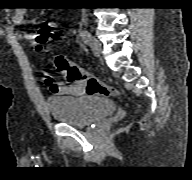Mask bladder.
Segmentation results:
<instances>
[{"label":"bladder","mask_w":192,"mask_h":180,"mask_svg":"<svg viewBox=\"0 0 192 180\" xmlns=\"http://www.w3.org/2000/svg\"><path fill=\"white\" fill-rule=\"evenodd\" d=\"M47 105L54 121L77 127L89 126L116 109L110 99L92 95L50 97Z\"/></svg>","instance_id":"bladder-1"}]
</instances>
